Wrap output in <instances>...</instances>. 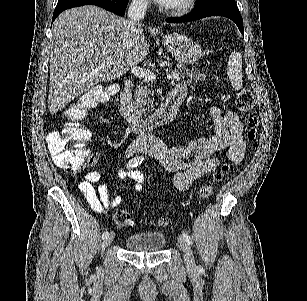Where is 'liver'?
<instances>
[{
  "instance_id": "liver-1",
  "label": "liver",
  "mask_w": 307,
  "mask_h": 301,
  "mask_svg": "<svg viewBox=\"0 0 307 301\" xmlns=\"http://www.w3.org/2000/svg\"><path fill=\"white\" fill-rule=\"evenodd\" d=\"M49 46L51 114L102 80L122 76L149 52L142 26L130 30L126 18L94 4L61 12L52 24Z\"/></svg>"
}]
</instances>
